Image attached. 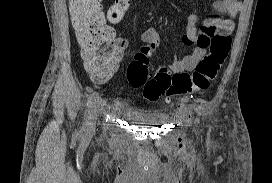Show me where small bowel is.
Segmentation results:
<instances>
[{
    "mask_svg": "<svg viewBox=\"0 0 272 183\" xmlns=\"http://www.w3.org/2000/svg\"><path fill=\"white\" fill-rule=\"evenodd\" d=\"M213 10L217 13L214 16L204 19L198 25V17L195 14H190L187 18V25L182 41L185 45L192 48V53L182 58L175 59L171 64L173 73H181L190 71L203 59L206 54L209 39L213 38L212 34L219 32H230L234 28L233 20L242 10L243 4L239 0H216L212 4ZM141 42L147 45L158 46L160 39L158 32L150 27L145 29L140 35ZM113 44L116 52L121 59V54L130 45V39L126 37L113 36ZM119 64V63H118ZM117 67H114L108 77L103 80L94 79L98 83L105 82L116 72Z\"/></svg>",
    "mask_w": 272,
    "mask_h": 183,
    "instance_id": "c3829d8e",
    "label": "small bowel"
}]
</instances>
